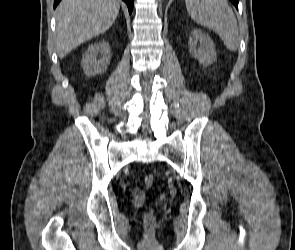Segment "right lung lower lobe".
Returning a JSON list of instances; mask_svg holds the SVG:
<instances>
[{"instance_id":"1","label":"right lung lower lobe","mask_w":295,"mask_h":250,"mask_svg":"<svg viewBox=\"0 0 295 250\" xmlns=\"http://www.w3.org/2000/svg\"><path fill=\"white\" fill-rule=\"evenodd\" d=\"M61 0H54V8L57 6V4L60 2ZM127 6H128V9H129V13L132 12V9H133V3H134V0H123Z\"/></svg>"}]
</instances>
